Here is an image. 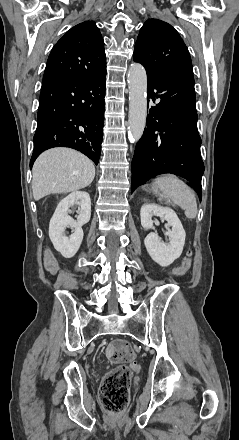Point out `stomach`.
Segmentation results:
<instances>
[{
	"instance_id": "1",
	"label": "stomach",
	"mask_w": 239,
	"mask_h": 440,
	"mask_svg": "<svg viewBox=\"0 0 239 440\" xmlns=\"http://www.w3.org/2000/svg\"><path fill=\"white\" fill-rule=\"evenodd\" d=\"M146 192H153V194H160V188H156L155 184H148L146 186Z\"/></svg>"
}]
</instances>
